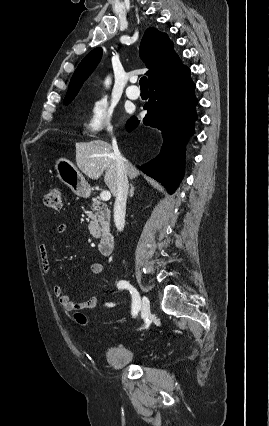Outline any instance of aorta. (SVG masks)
Returning a JSON list of instances; mask_svg holds the SVG:
<instances>
[{"label":"aorta","mask_w":269,"mask_h":426,"mask_svg":"<svg viewBox=\"0 0 269 426\" xmlns=\"http://www.w3.org/2000/svg\"><path fill=\"white\" fill-rule=\"evenodd\" d=\"M106 82H107V84H109L110 80H109V79H107V81H106Z\"/></svg>","instance_id":"762f6f07"}]
</instances>
